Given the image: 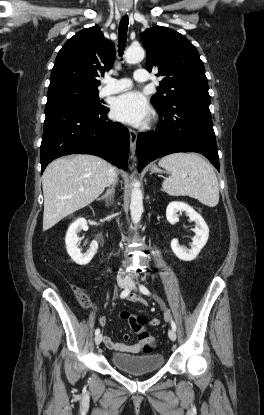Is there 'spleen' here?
Masks as SVG:
<instances>
[{"label":"spleen","instance_id":"obj_1","mask_svg":"<svg viewBox=\"0 0 264 415\" xmlns=\"http://www.w3.org/2000/svg\"><path fill=\"white\" fill-rule=\"evenodd\" d=\"M169 174L162 187L171 196H189L209 207L219 202V187L211 165L195 153H174L159 160Z\"/></svg>","mask_w":264,"mask_h":415}]
</instances>
